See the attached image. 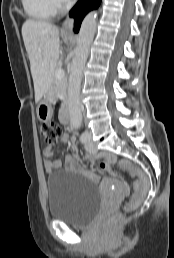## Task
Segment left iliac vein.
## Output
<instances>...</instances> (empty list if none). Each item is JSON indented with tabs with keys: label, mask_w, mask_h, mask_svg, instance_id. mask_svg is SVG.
I'll return each mask as SVG.
<instances>
[{
	"label": "left iliac vein",
	"mask_w": 174,
	"mask_h": 258,
	"mask_svg": "<svg viewBox=\"0 0 174 258\" xmlns=\"http://www.w3.org/2000/svg\"><path fill=\"white\" fill-rule=\"evenodd\" d=\"M87 134V141L85 143V147L89 152H96L97 149L96 147L93 145L92 141H91V134L89 132H85Z\"/></svg>",
	"instance_id": "4c4485c4"
}]
</instances>
